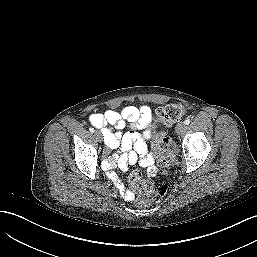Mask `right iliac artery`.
Listing matches in <instances>:
<instances>
[{"label":"right iliac artery","mask_w":257,"mask_h":257,"mask_svg":"<svg viewBox=\"0 0 257 257\" xmlns=\"http://www.w3.org/2000/svg\"><path fill=\"white\" fill-rule=\"evenodd\" d=\"M90 132L93 133L94 132V129L93 128H89Z\"/></svg>","instance_id":"right-iliac-artery-1"}]
</instances>
